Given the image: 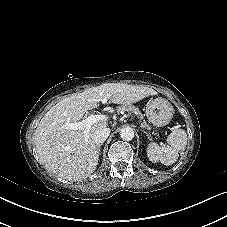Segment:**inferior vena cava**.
Listing matches in <instances>:
<instances>
[{
  "instance_id": "602c4592",
  "label": "inferior vena cava",
  "mask_w": 227,
  "mask_h": 227,
  "mask_svg": "<svg viewBox=\"0 0 227 227\" xmlns=\"http://www.w3.org/2000/svg\"><path fill=\"white\" fill-rule=\"evenodd\" d=\"M109 134H110V128H106V127L100 128V129L96 130V132L94 133L93 139L96 144H101L106 141Z\"/></svg>"
}]
</instances>
